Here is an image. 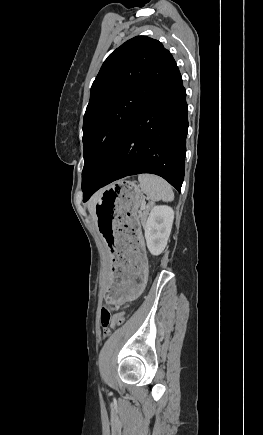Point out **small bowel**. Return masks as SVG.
I'll return each instance as SVG.
<instances>
[{
  "label": "small bowel",
  "instance_id": "c3829d8e",
  "mask_svg": "<svg viewBox=\"0 0 263 435\" xmlns=\"http://www.w3.org/2000/svg\"><path fill=\"white\" fill-rule=\"evenodd\" d=\"M107 328H113V323H107Z\"/></svg>",
  "mask_w": 263,
  "mask_h": 435
}]
</instances>
